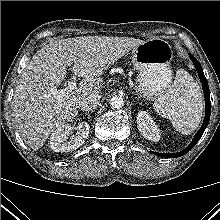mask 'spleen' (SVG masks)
<instances>
[{
	"instance_id": "spleen-1",
	"label": "spleen",
	"mask_w": 220,
	"mask_h": 220,
	"mask_svg": "<svg viewBox=\"0 0 220 220\" xmlns=\"http://www.w3.org/2000/svg\"><path fill=\"white\" fill-rule=\"evenodd\" d=\"M154 110L169 119L176 131L188 135L195 131L203 115V95L190 74L180 69L169 90L153 104Z\"/></svg>"
}]
</instances>
